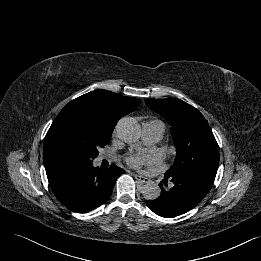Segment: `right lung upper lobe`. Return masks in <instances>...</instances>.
I'll use <instances>...</instances> for the list:
<instances>
[{
  "label": "right lung upper lobe",
  "instance_id": "obj_1",
  "mask_svg": "<svg viewBox=\"0 0 261 261\" xmlns=\"http://www.w3.org/2000/svg\"><path fill=\"white\" fill-rule=\"evenodd\" d=\"M140 102L134 97H125L107 90H95L72 100L61 112L76 106H88L99 117L115 127L117 121L136 110Z\"/></svg>",
  "mask_w": 261,
  "mask_h": 261
}]
</instances>
